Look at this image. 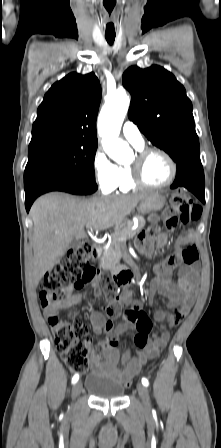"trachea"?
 <instances>
[{"mask_svg": "<svg viewBox=\"0 0 221 448\" xmlns=\"http://www.w3.org/2000/svg\"><path fill=\"white\" fill-rule=\"evenodd\" d=\"M105 38L109 44H113L115 40V36L106 35Z\"/></svg>", "mask_w": 221, "mask_h": 448, "instance_id": "3493384b", "label": "trachea"}]
</instances>
